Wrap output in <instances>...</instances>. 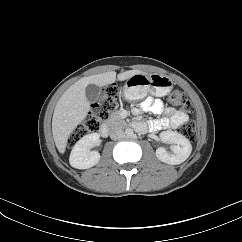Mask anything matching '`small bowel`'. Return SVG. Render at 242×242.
I'll use <instances>...</instances> for the list:
<instances>
[{
    "instance_id": "c3829d8e",
    "label": "small bowel",
    "mask_w": 242,
    "mask_h": 242,
    "mask_svg": "<svg viewBox=\"0 0 242 242\" xmlns=\"http://www.w3.org/2000/svg\"><path fill=\"white\" fill-rule=\"evenodd\" d=\"M150 112L153 114H165V117L152 120L149 123L142 121H135L134 128L140 132L159 131L166 129H177L188 121V116L182 111L165 107L163 102L159 99H153L151 97L146 98L140 105L134 109L135 114L140 112Z\"/></svg>"
}]
</instances>
